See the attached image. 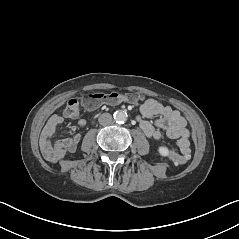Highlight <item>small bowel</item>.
Segmentation results:
<instances>
[{
  "instance_id": "small-bowel-1",
  "label": "small bowel",
  "mask_w": 239,
  "mask_h": 239,
  "mask_svg": "<svg viewBox=\"0 0 239 239\" xmlns=\"http://www.w3.org/2000/svg\"><path fill=\"white\" fill-rule=\"evenodd\" d=\"M86 108L93 110L96 107ZM140 112L142 117H138V124L148 138L159 140L164 130L169 138L177 140L178 148L183 155L190 153V132L186 119L180 111L165 106L155 99H147L141 105ZM64 116L67 117L65 114ZM156 116L158 119L154 123L148 120ZM63 121V116L53 115L45 124L40 136L41 152L44 158L51 163H56L67 153L75 152L80 142V135L75 134L55 144L52 143L54 133ZM84 124V120H79L77 127L82 128Z\"/></svg>"
}]
</instances>
